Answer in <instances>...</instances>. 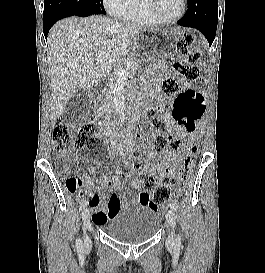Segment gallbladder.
<instances>
[{
    "instance_id": "obj_1",
    "label": "gallbladder",
    "mask_w": 265,
    "mask_h": 273,
    "mask_svg": "<svg viewBox=\"0 0 265 273\" xmlns=\"http://www.w3.org/2000/svg\"><path fill=\"white\" fill-rule=\"evenodd\" d=\"M90 95L87 91L80 90L74 93L68 100L62 119L67 123H75L81 120L89 108Z\"/></svg>"
}]
</instances>
